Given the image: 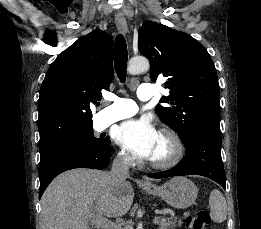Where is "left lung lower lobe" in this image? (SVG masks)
Listing matches in <instances>:
<instances>
[{
	"instance_id": "obj_1",
	"label": "left lung lower lobe",
	"mask_w": 261,
	"mask_h": 229,
	"mask_svg": "<svg viewBox=\"0 0 261 229\" xmlns=\"http://www.w3.org/2000/svg\"><path fill=\"white\" fill-rule=\"evenodd\" d=\"M221 144L220 135L198 133L186 144V156L176 167L164 172L150 173L148 177L160 179L172 176L202 175L225 188L226 176L221 158Z\"/></svg>"
}]
</instances>
